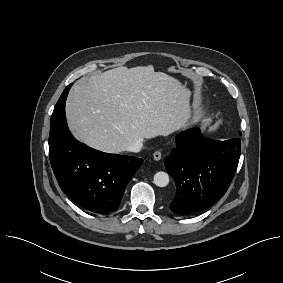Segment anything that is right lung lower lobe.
I'll return each instance as SVG.
<instances>
[{
	"label": "right lung lower lobe",
	"instance_id": "right-lung-lower-lobe-1",
	"mask_svg": "<svg viewBox=\"0 0 283 283\" xmlns=\"http://www.w3.org/2000/svg\"><path fill=\"white\" fill-rule=\"evenodd\" d=\"M71 85L63 91L51 116L52 169L69 198L89 211L106 215L118 208L128 182L143 160L97 151L72 136L65 118V102Z\"/></svg>",
	"mask_w": 283,
	"mask_h": 283
}]
</instances>
